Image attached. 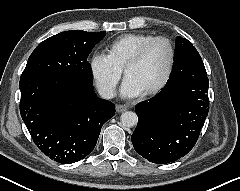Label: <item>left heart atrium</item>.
<instances>
[{
	"label": "left heart atrium",
	"mask_w": 240,
	"mask_h": 191,
	"mask_svg": "<svg viewBox=\"0 0 240 191\" xmlns=\"http://www.w3.org/2000/svg\"><path fill=\"white\" fill-rule=\"evenodd\" d=\"M141 93L139 87L130 78L126 77L124 79L121 88V94L124 97L133 98L139 96Z\"/></svg>",
	"instance_id": "left-heart-atrium-1"
}]
</instances>
